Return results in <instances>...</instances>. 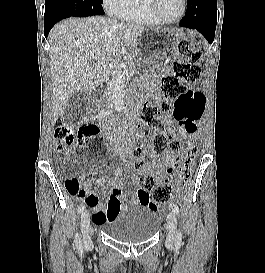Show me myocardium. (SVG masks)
Returning a JSON list of instances; mask_svg holds the SVG:
<instances>
[{
    "label": "myocardium",
    "mask_w": 265,
    "mask_h": 273,
    "mask_svg": "<svg viewBox=\"0 0 265 273\" xmlns=\"http://www.w3.org/2000/svg\"><path fill=\"white\" fill-rule=\"evenodd\" d=\"M158 2H159L158 0H148V5H149V10L151 14L153 15L154 19L160 24L177 23L186 15L187 8H188L187 0H182V12L175 19H166L162 17L158 11Z\"/></svg>",
    "instance_id": "myocardium-1"
}]
</instances>
